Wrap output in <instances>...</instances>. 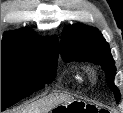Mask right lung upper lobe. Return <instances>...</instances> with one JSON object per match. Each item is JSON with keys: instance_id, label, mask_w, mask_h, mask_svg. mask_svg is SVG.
<instances>
[{"instance_id": "right-lung-upper-lobe-1", "label": "right lung upper lobe", "mask_w": 123, "mask_h": 113, "mask_svg": "<svg viewBox=\"0 0 123 113\" xmlns=\"http://www.w3.org/2000/svg\"><path fill=\"white\" fill-rule=\"evenodd\" d=\"M1 46H18L24 48L46 46L53 52L59 54L57 37L42 38L41 36L33 35V31L27 28L5 33Z\"/></svg>"}]
</instances>
